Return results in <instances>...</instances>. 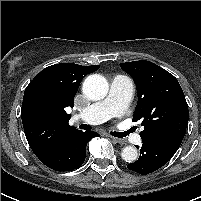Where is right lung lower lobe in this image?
Returning <instances> with one entry per match:
<instances>
[{"instance_id":"1","label":"right lung lower lobe","mask_w":201,"mask_h":201,"mask_svg":"<svg viewBox=\"0 0 201 201\" xmlns=\"http://www.w3.org/2000/svg\"><path fill=\"white\" fill-rule=\"evenodd\" d=\"M96 136L97 134L91 131L75 130L51 150L36 156L43 164L55 171L77 169L85 160L88 141Z\"/></svg>"}]
</instances>
